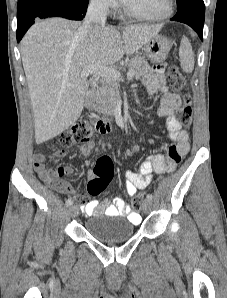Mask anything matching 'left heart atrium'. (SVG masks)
I'll use <instances>...</instances> for the list:
<instances>
[{"label": "left heart atrium", "instance_id": "left-heart-atrium-1", "mask_svg": "<svg viewBox=\"0 0 227 298\" xmlns=\"http://www.w3.org/2000/svg\"><path fill=\"white\" fill-rule=\"evenodd\" d=\"M120 1H122L124 4L127 2V0H120Z\"/></svg>", "mask_w": 227, "mask_h": 298}]
</instances>
